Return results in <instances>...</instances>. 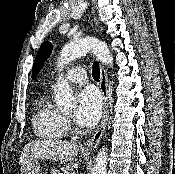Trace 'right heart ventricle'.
Here are the masks:
<instances>
[{"label":"right heart ventricle","instance_id":"obj_1","mask_svg":"<svg viewBox=\"0 0 175 174\" xmlns=\"http://www.w3.org/2000/svg\"><path fill=\"white\" fill-rule=\"evenodd\" d=\"M32 123L34 133L41 139L55 141L67 135L65 116L48 94H42L37 99Z\"/></svg>","mask_w":175,"mask_h":174}]
</instances>
